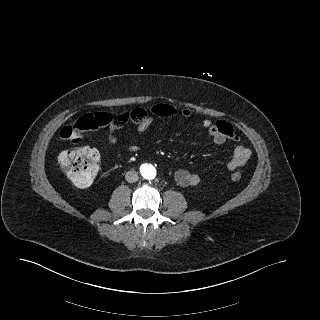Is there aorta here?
Wrapping results in <instances>:
<instances>
[{"label": "aorta", "mask_w": 320, "mask_h": 320, "mask_svg": "<svg viewBox=\"0 0 320 320\" xmlns=\"http://www.w3.org/2000/svg\"><path fill=\"white\" fill-rule=\"evenodd\" d=\"M142 175L148 180L154 179L156 176V169L152 165H145L142 167Z\"/></svg>", "instance_id": "obj_1"}]
</instances>
